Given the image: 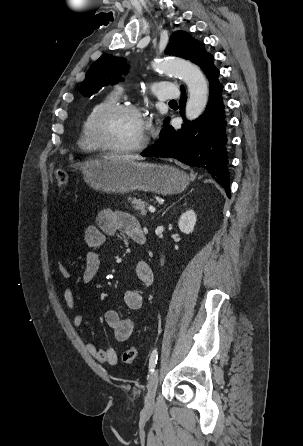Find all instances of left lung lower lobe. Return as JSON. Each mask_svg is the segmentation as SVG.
<instances>
[{
  "label": "left lung lower lobe",
  "mask_w": 303,
  "mask_h": 446,
  "mask_svg": "<svg viewBox=\"0 0 303 446\" xmlns=\"http://www.w3.org/2000/svg\"><path fill=\"white\" fill-rule=\"evenodd\" d=\"M213 60L211 56L201 67L210 83L209 102L203 116L192 122L185 120L182 128L177 131L168 125V120L160 133V139L141 155L173 157L189 166L202 167L225 188L230 197L228 155L225 147L227 121L221 97L223 85L218 80L219 70L214 66ZM181 89L180 110L184 117L186 94L184 87Z\"/></svg>",
  "instance_id": "1"
}]
</instances>
